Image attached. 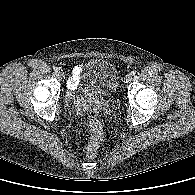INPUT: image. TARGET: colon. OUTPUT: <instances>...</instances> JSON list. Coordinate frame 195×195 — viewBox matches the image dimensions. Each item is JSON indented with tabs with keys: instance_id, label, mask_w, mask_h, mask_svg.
<instances>
[{
	"instance_id": "obj_1",
	"label": "colon",
	"mask_w": 195,
	"mask_h": 195,
	"mask_svg": "<svg viewBox=\"0 0 195 195\" xmlns=\"http://www.w3.org/2000/svg\"><path fill=\"white\" fill-rule=\"evenodd\" d=\"M88 128L91 138L87 147V156L92 158L97 155L99 144L102 140V124L98 118L92 116L88 120Z\"/></svg>"
}]
</instances>
